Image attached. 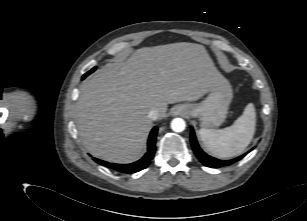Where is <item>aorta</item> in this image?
Here are the masks:
<instances>
[{
	"label": "aorta",
	"instance_id": "obj_1",
	"mask_svg": "<svg viewBox=\"0 0 307 221\" xmlns=\"http://www.w3.org/2000/svg\"><path fill=\"white\" fill-rule=\"evenodd\" d=\"M186 128V123L182 118H175L171 122V129L175 132H182Z\"/></svg>",
	"mask_w": 307,
	"mask_h": 221
}]
</instances>
